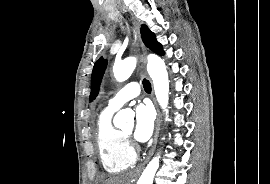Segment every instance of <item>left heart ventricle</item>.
Returning a JSON list of instances; mask_svg holds the SVG:
<instances>
[{
    "label": "left heart ventricle",
    "mask_w": 270,
    "mask_h": 184,
    "mask_svg": "<svg viewBox=\"0 0 270 184\" xmlns=\"http://www.w3.org/2000/svg\"><path fill=\"white\" fill-rule=\"evenodd\" d=\"M125 132H126L127 134H131V133H132V127L127 128V129L125 130Z\"/></svg>",
    "instance_id": "1"
}]
</instances>
